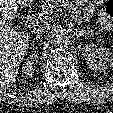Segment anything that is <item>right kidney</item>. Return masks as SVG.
Listing matches in <instances>:
<instances>
[{"label": "right kidney", "mask_w": 113, "mask_h": 113, "mask_svg": "<svg viewBox=\"0 0 113 113\" xmlns=\"http://www.w3.org/2000/svg\"><path fill=\"white\" fill-rule=\"evenodd\" d=\"M37 59H38L37 54L35 53L31 54V56L28 58L25 64H23L22 73L25 75H30L37 65Z\"/></svg>", "instance_id": "1"}]
</instances>
